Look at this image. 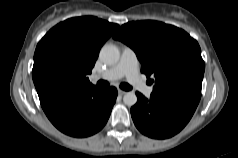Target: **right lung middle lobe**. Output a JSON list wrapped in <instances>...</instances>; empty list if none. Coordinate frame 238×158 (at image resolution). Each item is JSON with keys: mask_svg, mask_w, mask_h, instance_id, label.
I'll use <instances>...</instances> for the list:
<instances>
[{"mask_svg": "<svg viewBox=\"0 0 238 158\" xmlns=\"http://www.w3.org/2000/svg\"><path fill=\"white\" fill-rule=\"evenodd\" d=\"M46 71L51 75H57L60 71L59 64L54 60H49L45 64Z\"/></svg>", "mask_w": 238, "mask_h": 158, "instance_id": "right-lung-middle-lobe-1", "label": "right lung middle lobe"}]
</instances>
